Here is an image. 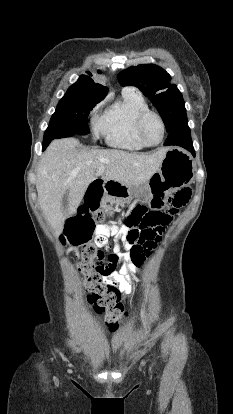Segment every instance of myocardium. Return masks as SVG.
<instances>
[{
    "mask_svg": "<svg viewBox=\"0 0 233 414\" xmlns=\"http://www.w3.org/2000/svg\"><path fill=\"white\" fill-rule=\"evenodd\" d=\"M151 116L156 117L158 119L160 125H161L162 136H161V139L158 142H151L148 139V137L146 136V133H145V123H146L147 119ZM136 126H137L138 134L141 137V139L150 146L160 144L163 141V139L165 137V134H166L165 121H164L163 117L161 116V114L158 113L157 111H154V110L149 109V110L144 111L143 113H141L139 115L138 119H137Z\"/></svg>",
    "mask_w": 233,
    "mask_h": 414,
    "instance_id": "myocardium-1",
    "label": "myocardium"
}]
</instances>
